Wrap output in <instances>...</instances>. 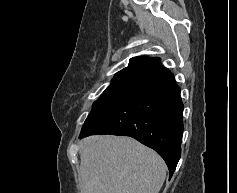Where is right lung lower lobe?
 Returning a JSON list of instances; mask_svg holds the SVG:
<instances>
[{
    "instance_id": "1",
    "label": "right lung lower lobe",
    "mask_w": 237,
    "mask_h": 193,
    "mask_svg": "<svg viewBox=\"0 0 237 193\" xmlns=\"http://www.w3.org/2000/svg\"><path fill=\"white\" fill-rule=\"evenodd\" d=\"M182 112L180 88L173 74L157 59L127 98L87 117L80 138L93 134L133 137L164 159L171 178L181 156Z\"/></svg>"
}]
</instances>
